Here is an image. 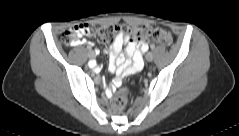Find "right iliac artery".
<instances>
[{"label": "right iliac artery", "instance_id": "1", "mask_svg": "<svg viewBox=\"0 0 239 136\" xmlns=\"http://www.w3.org/2000/svg\"><path fill=\"white\" fill-rule=\"evenodd\" d=\"M87 51H88V53H91L92 52L91 47H87Z\"/></svg>", "mask_w": 239, "mask_h": 136}]
</instances>
